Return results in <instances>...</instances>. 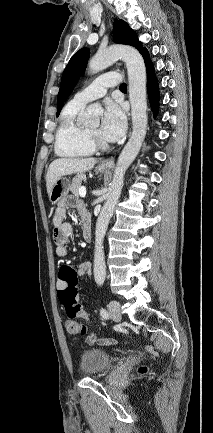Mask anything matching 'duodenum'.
I'll use <instances>...</instances> for the list:
<instances>
[{
	"label": "duodenum",
	"instance_id": "duodenum-1",
	"mask_svg": "<svg viewBox=\"0 0 213 433\" xmlns=\"http://www.w3.org/2000/svg\"><path fill=\"white\" fill-rule=\"evenodd\" d=\"M83 236L87 242H90L92 240V232L90 226L86 225L83 227Z\"/></svg>",
	"mask_w": 213,
	"mask_h": 433
}]
</instances>
